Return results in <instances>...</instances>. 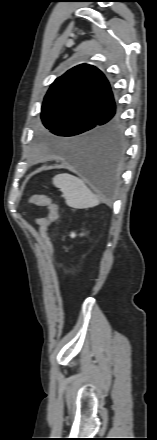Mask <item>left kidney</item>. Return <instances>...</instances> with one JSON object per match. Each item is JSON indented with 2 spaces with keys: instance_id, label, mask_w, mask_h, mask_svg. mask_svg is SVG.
<instances>
[{
  "instance_id": "left-kidney-1",
  "label": "left kidney",
  "mask_w": 157,
  "mask_h": 440,
  "mask_svg": "<svg viewBox=\"0 0 157 440\" xmlns=\"http://www.w3.org/2000/svg\"><path fill=\"white\" fill-rule=\"evenodd\" d=\"M82 235V234H81ZM76 235L75 233H71V237L74 238Z\"/></svg>"
}]
</instances>
